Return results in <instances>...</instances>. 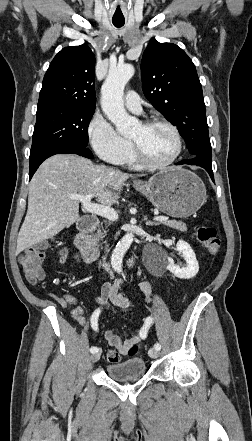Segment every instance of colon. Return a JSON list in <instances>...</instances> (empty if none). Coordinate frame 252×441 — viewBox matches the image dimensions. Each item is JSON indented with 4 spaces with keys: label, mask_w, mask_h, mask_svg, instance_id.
Segmentation results:
<instances>
[{
    "label": "colon",
    "mask_w": 252,
    "mask_h": 441,
    "mask_svg": "<svg viewBox=\"0 0 252 441\" xmlns=\"http://www.w3.org/2000/svg\"><path fill=\"white\" fill-rule=\"evenodd\" d=\"M196 239L206 248L210 254H216L221 248V241L217 236L216 230L213 227L206 225H197L194 228ZM46 246L36 245L29 247L19 256V263L25 273L26 279L32 285L42 281L45 277V272L42 268V262L45 258ZM130 306L117 307L116 312L121 315H126ZM137 352V346L134 345L128 351V355H134ZM121 355L116 350H109L106 354V359L109 363H118Z\"/></svg>",
    "instance_id": "obj_1"
}]
</instances>
